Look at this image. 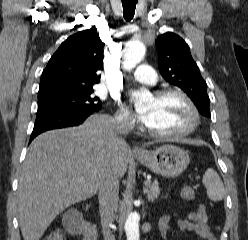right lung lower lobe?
Returning <instances> with one entry per match:
<instances>
[{
  "label": "right lung lower lobe",
  "mask_w": 248,
  "mask_h": 240,
  "mask_svg": "<svg viewBox=\"0 0 248 240\" xmlns=\"http://www.w3.org/2000/svg\"><path fill=\"white\" fill-rule=\"evenodd\" d=\"M99 110H74L62 107L38 108L30 142L47 130L79 125L88 116Z\"/></svg>",
  "instance_id": "1"
}]
</instances>
